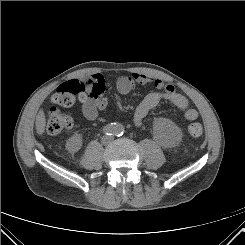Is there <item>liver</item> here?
<instances>
[{
	"label": "liver",
	"mask_w": 245,
	"mask_h": 245,
	"mask_svg": "<svg viewBox=\"0 0 245 245\" xmlns=\"http://www.w3.org/2000/svg\"><path fill=\"white\" fill-rule=\"evenodd\" d=\"M36 132L38 135H42L45 130L46 119L43 110H40L36 117Z\"/></svg>",
	"instance_id": "6515ba94"
}]
</instances>
